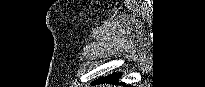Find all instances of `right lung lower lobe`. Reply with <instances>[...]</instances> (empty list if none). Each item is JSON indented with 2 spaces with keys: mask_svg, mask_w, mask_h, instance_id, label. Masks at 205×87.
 Listing matches in <instances>:
<instances>
[{
  "mask_svg": "<svg viewBox=\"0 0 205 87\" xmlns=\"http://www.w3.org/2000/svg\"><path fill=\"white\" fill-rule=\"evenodd\" d=\"M121 77V73H116V74H113V75H110V76H107L105 78H100V79H97L96 81L93 82V84H98V83H102V82H117V80Z\"/></svg>",
  "mask_w": 205,
  "mask_h": 87,
  "instance_id": "98d812e1",
  "label": "right lung lower lobe"
}]
</instances>
